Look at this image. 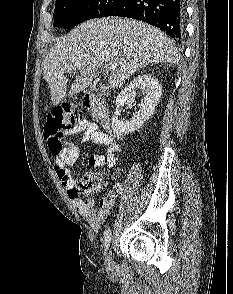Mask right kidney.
Returning a JSON list of instances; mask_svg holds the SVG:
<instances>
[{"label": "right kidney", "instance_id": "obj_1", "mask_svg": "<svg viewBox=\"0 0 233 294\" xmlns=\"http://www.w3.org/2000/svg\"><path fill=\"white\" fill-rule=\"evenodd\" d=\"M137 90H140L144 94L143 99L139 103V110L134 114L131 120L120 121L118 116L121 113L122 107L125 103L135 100ZM161 95L162 89L157 79L148 73H140L137 75L116 98V109L111 124L113 133L117 137H120L129 132L138 130L153 114Z\"/></svg>", "mask_w": 233, "mask_h": 294}]
</instances>
